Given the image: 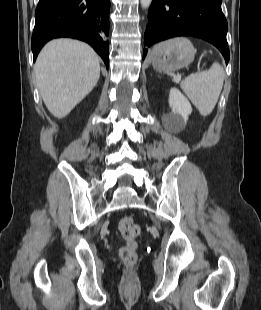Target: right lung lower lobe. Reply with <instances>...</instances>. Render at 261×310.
Listing matches in <instances>:
<instances>
[{"instance_id": "right-lung-lower-lobe-1", "label": "right lung lower lobe", "mask_w": 261, "mask_h": 310, "mask_svg": "<svg viewBox=\"0 0 261 310\" xmlns=\"http://www.w3.org/2000/svg\"><path fill=\"white\" fill-rule=\"evenodd\" d=\"M110 0H39L32 35L34 61L52 38L71 37L89 43L109 66Z\"/></svg>"}]
</instances>
